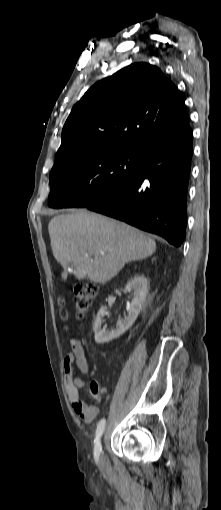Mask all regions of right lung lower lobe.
I'll list each match as a JSON object with an SVG mask.
<instances>
[{
  "label": "right lung lower lobe",
  "mask_w": 221,
  "mask_h": 510,
  "mask_svg": "<svg viewBox=\"0 0 221 510\" xmlns=\"http://www.w3.org/2000/svg\"><path fill=\"white\" fill-rule=\"evenodd\" d=\"M192 153L191 128L149 144L138 172L126 184L85 207L181 246Z\"/></svg>",
  "instance_id": "obj_1"
}]
</instances>
